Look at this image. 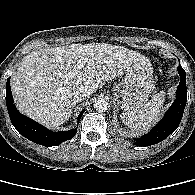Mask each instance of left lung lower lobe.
I'll return each mask as SVG.
<instances>
[{"label": "left lung lower lobe", "mask_w": 195, "mask_h": 195, "mask_svg": "<svg viewBox=\"0 0 195 195\" xmlns=\"http://www.w3.org/2000/svg\"><path fill=\"white\" fill-rule=\"evenodd\" d=\"M178 71L181 77L176 92V99L162 118V120L146 135L137 139L135 145L150 146L166 139L179 126L187 101L186 75L179 64Z\"/></svg>", "instance_id": "obj_1"}]
</instances>
